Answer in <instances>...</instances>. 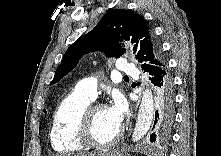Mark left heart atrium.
I'll return each mask as SVG.
<instances>
[{"instance_id": "left-heart-atrium-1", "label": "left heart atrium", "mask_w": 221, "mask_h": 156, "mask_svg": "<svg viewBox=\"0 0 221 156\" xmlns=\"http://www.w3.org/2000/svg\"><path fill=\"white\" fill-rule=\"evenodd\" d=\"M127 112L125 101L121 97H115L112 104L107 108L110 120L120 128Z\"/></svg>"}]
</instances>
